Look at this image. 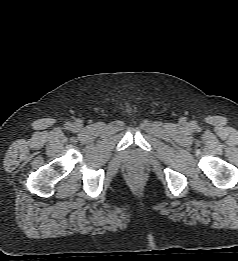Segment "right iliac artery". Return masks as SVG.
<instances>
[{"mask_svg":"<svg viewBox=\"0 0 238 261\" xmlns=\"http://www.w3.org/2000/svg\"><path fill=\"white\" fill-rule=\"evenodd\" d=\"M65 127H66L67 129H71L72 124H71L70 122H67V123L65 124Z\"/></svg>","mask_w":238,"mask_h":261,"instance_id":"82829eb1","label":"right iliac artery"}]
</instances>
